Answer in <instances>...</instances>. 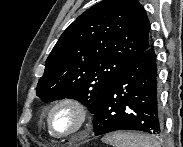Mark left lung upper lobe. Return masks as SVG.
Returning <instances> with one entry per match:
<instances>
[{
  "label": "left lung upper lobe",
  "instance_id": "1",
  "mask_svg": "<svg viewBox=\"0 0 183 147\" xmlns=\"http://www.w3.org/2000/svg\"><path fill=\"white\" fill-rule=\"evenodd\" d=\"M150 22L137 0H102L61 35L36 94L44 102L74 98L91 113L115 78L150 47Z\"/></svg>",
  "mask_w": 183,
  "mask_h": 147
}]
</instances>
